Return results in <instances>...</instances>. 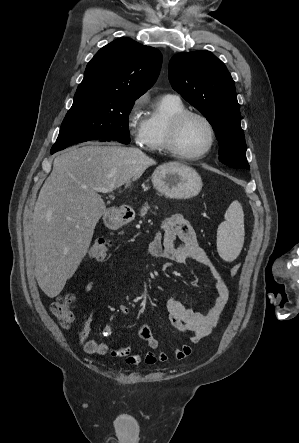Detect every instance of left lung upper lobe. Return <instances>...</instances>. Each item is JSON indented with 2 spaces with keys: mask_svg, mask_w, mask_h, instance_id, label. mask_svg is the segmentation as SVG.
I'll list each match as a JSON object with an SVG mask.
<instances>
[{
  "mask_svg": "<svg viewBox=\"0 0 299 443\" xmlns=\"http://www.w3.org/2000/svg\"><path fill=\"white\" fill-rule=\"evenodd\" d=\"M169 80L212 125L220 161L232 168L249 169L235 85L224 63L206 50L179 53L170 60Z\"/></svg>",
  "mask_w": 299,
  "mask_h": 443,
  "instance_id": "1",
  "label": "left lung upper lobe"
}]
</instances>
